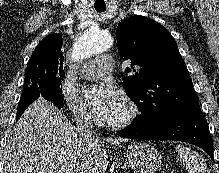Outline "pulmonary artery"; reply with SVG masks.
Wrapping results in <instances>:
<instances>
[{
    "label": "pulmonary artery",
    "mask_w": 219,
    "mask_h": 173,
    "mask_svg": "<svg viewBox=\"0 0 219 173\" xmlns=\"http://www.w3.org/2000/svg\"><path fill=\"white\" fill-rule=\"evenodd\" d=\"M114 60L110 55H101L88 62L82 69V74L87 79H96L112 71Z\"/></svg>",
    "instance_id": "pulmonary-artery-1"
}]
</instances>
